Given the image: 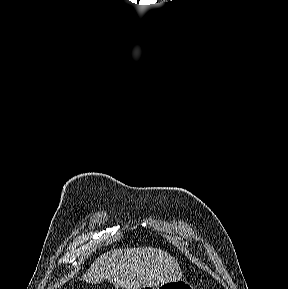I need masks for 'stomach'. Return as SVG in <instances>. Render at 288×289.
I'll list each match as a JSON object with an SVG mask.
<instances>
[{
    "label": "stomach",
    "mask_w": 288,
    "mask_h": 289,
    "mask_svg": "<svg viewBox=\"0 0 288 289\" xmlns=\"http://www.w3.org/2000/svg\"><path fill=\"white\" fill-rule=\"evenodd\" d=\"M147 289H193L192 285L180 279L176 281H169L158 285L156 288L147 287Z\"/></svg>",
    "instance_id": "obj_1"
}]
</instances>
